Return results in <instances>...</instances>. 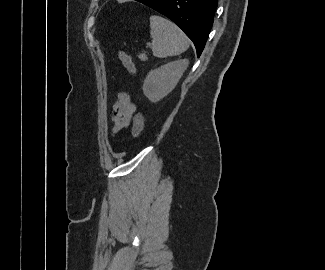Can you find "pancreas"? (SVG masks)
<instances>
[{
  "label": "pancreas",
  "mask_w": 325,
  "mask_h": 270,
  "mask_svg": "<svg viewBox=\"0 0 325 270\" xmlns=\"http://www.w3.org/2000/svg\"><path fill=\"white\" fill-rule=\"evenodd\" d=\"M139 58L141 59V61H146V60H148V57H147L146 53H141V54L139 55Z\"/></svg>",
  "instance_id": "1"
}]
</instances>
